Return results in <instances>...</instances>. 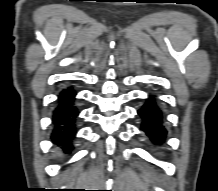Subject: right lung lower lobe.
I'll return each instance as SVG.
<instances>
[{
	"instance_id": "1",
	"label": "right lung lower lobe",
	"mask_w": 218,
	"mask_h": 191,
	"mask_svg": "<svg viewBox=\"0 0 218 191\" xmlns=\"http://www.w3.org/2000/svg\"><path fill=\"white\" fill-rule=\"evenodd\" d=\"M76 91L72 87L63 89L59 94L57 106L53 111L52 132L53 140L61 141L66 148H70L72 140L76 134L75 119L78 115V110L74 105Z\"/></svg>"
}]
</instances>
